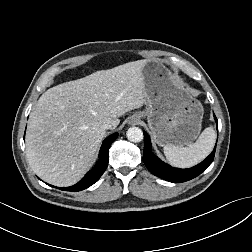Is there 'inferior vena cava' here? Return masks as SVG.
Returning a JSON list of instances; mask_svg holds the SVG:
<instances>
[{"instance_id":"602c4592","label":"inferior vena cava","mask_w":252,"mask_h":252,"mask_svg":"<svg viewBox=\"0 0 252 252\" xmlns=\"http://www.w3.org/2000/svg\"><path fill=\"white\" fill-rule=\"evenodd\" d=\"M101 127L103 129H113V128H115L114 124L111 123L110 121L103 122V124L101 125Z\"/></svg>"}]
</instances>
